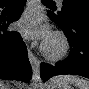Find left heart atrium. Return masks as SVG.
Here are the masks:
<instances>
[{
	"label": "left heart atrium",
	"instance_id": "obj_1",
	"mask_svg": "<svg viewBox=\"0 0 89 89\" xmlns=\"http://www.w3.org/2000/svg\"><path fill=\"white\" fill-rule=\"evenodd\" d=\"M18 29L28 37H39L47 39L49 29L41 24L39 13L35 9L25 12L17 22Z\"/></svg>",
	"mask_w": 89,
	"mask_h": 89
}]
</instances>
